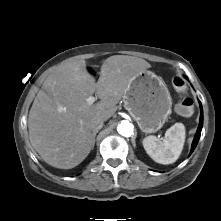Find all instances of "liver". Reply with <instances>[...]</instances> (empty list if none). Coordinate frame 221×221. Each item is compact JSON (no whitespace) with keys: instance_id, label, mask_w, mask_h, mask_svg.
I'll return each mask as SVG.
<instances>
[{"instance_id":"obj_1","label":"liver","mask_w":221,"mask_h":221,"mask_svg":"<svg viewBox=\"0 0 221 221\" xmlns=\"http://www.w3.org/2000/svg\"><path fill=\"white\" fill-rule=\"evenodd\" d=\"M151 65L144 59L114 55L103 61L95 82L84 60L75 61L50 75L37 93L28 116L32 147L47 164L71 169L90 153V123L107 121L117 110L130 82ZM96 94L99 102L89 105Z\"/></svg>"}]
</instances>
